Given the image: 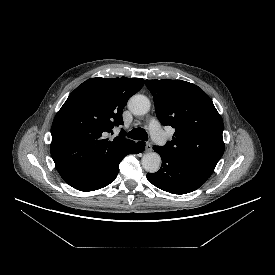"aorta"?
<instances>
[{"instance_id": "762f6f07", "label": "aorta", "mask_w": 275, "mask_h": 275, "mask_svg": "<svg viewBox=\"0 0 275 275\" xmlns=\"http://www.w3.org/2000/svg\"><path fill=\"white\" fill-rule=\"evenodd\" d=\"M150 101L144 95H134L128 101L129 110L135 115H144L150 110ZM142 166L145 171L155 173L160 169L161 157L156 152H149L142 157Z\"/></svg>"}]
</instances>
